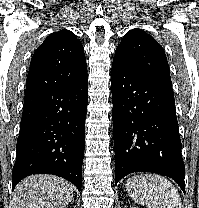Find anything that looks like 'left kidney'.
<instances>
[{
	"label": "left kidney",
	"instance_id": "obj_1",
	"mask_svg": "<svg viewBox=\"0 0 199 208\" xmlns=\"http://www.w3.org/2000/svg\"><path fill=\"white\" fill-rule=\"evenodd\" d=\"M130 208H138V207H130Z\"/></svg>",
	"mask_w": 199,
	"mask_h": 208
}]
</instances>
